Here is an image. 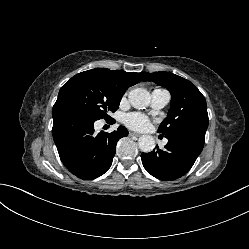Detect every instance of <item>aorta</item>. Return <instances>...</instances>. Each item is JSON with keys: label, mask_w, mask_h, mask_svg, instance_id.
I'll use <instances>...</instances> for the list:
<instances>
[{"label": "aorta", "mask_w": 249, "mask_h": 249, "mask_svg": "<svg viewBox=\"0 0 249 249\" xmlns=\"http://www.w3.org/2000/svg\"><path fill=\"white\" fill-rule=\"evenodd\" d=\"M128 100L130 104L137 109H143L150 103V93L143 88H136L129 92ZM141 151L151 152L155 148V140L150 135H143L138 140Z\"/></svg>", "instance_id": "762f6f07"}]
</instances>
